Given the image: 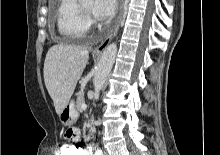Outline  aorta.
<instances>
[{
    "label": "aorta",
    "mask_w": 220,
    "mask_h": 155,
    "mask_svg": "<svg viewBox=\"0 0 220 155\" xmlns=\"http://www.w3.org/2000/svg\"><path fill=\"white\" fill-rule=\"evenodd\" d=\"M116 54L117 44L115 43H111L103 51L93 79L95 96L99 95L100 91L102 90L106 79L113 67Z\"/></svg>",
    "instance_id": "762f6f07"
}]
</instances>
